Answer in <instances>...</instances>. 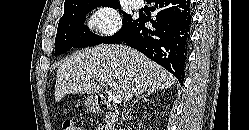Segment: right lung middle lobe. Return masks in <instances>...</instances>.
Instances as JSON below:
<instances>
[{
  "instance_id": "right-lung-middle-lobe-1",
  "label": "right lung middle lobe",
  "mask_w": 249,
  "mask_h": 130,
  "mask_svg": "<svg viewBox=\"0 0 249 130\" xmlns=\"http://www.w3.org/2000/svg\"><path fill=\"white\" fill-rule=\"evenodd\" d=\"M99 6L120 9V3L118 1L96 3L81 9H64V14L59 21L55 39V56L61 55L73 47L81 48L103 43H117L136 22V20L132 19L130 15L124 13L122 28L116 34L107 37L93 34L90 32L89 27L84 25V22L86 15L92 9ZM119 12L121 13L120 10Z\"/></svg>"
}]
</instances>
